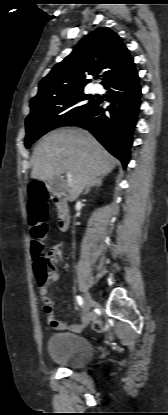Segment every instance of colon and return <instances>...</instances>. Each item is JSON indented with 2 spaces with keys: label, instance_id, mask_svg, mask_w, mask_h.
Returning <instances> with one entry per match:
<instances>
[{
  "label": "colon",
  "instance_id": "1",
  "mask_svg": "<svg viewBox=\"0 0 168 415\" xmlns=\"http://www.w3.org/2000/svg\"><path fill=\"white\" fill-rule=\"evenodd\" d=\"M28 215L30 223V235L32 237L31 252L34 259V271L41 286L50 279L48 272L51 257L46 253L43 240L46 238L48 227L47 218V194L40 184L29 186ZM96 331H104V324L100 318L93 321Z\"/></svg>",
  "mask_w": 168,
  "mask_h": 415
}]
</instances>
